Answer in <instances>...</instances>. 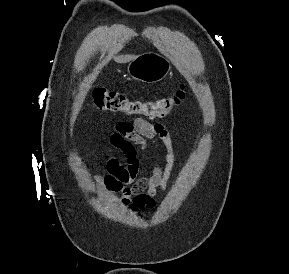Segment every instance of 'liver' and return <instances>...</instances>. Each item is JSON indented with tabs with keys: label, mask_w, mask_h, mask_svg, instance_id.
I'll use <instances>...</instances> for the list:
<instances>
[{
	"label": "liver",
	"mask_w": 289,
	"mask_h": 274,
	"mask_svg": "<svg viewBox=\"0 0 289 274\" xmlns=\"http://www.w3.org/2000/svg\"><path fill=\"white\" fill-rule=\"evenodd\" d=\"M136 56L134 55H120L115 57V61L118 63H127L132 61Z\"/></svg>",
	"instance_id": "6515ba94"
}]
</instances>
